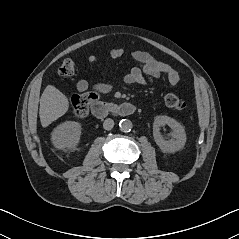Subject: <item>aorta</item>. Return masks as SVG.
Wrapping results in <instances>:
<instances>
[{
    "mask_svg": "<svg viewBox=\"0 0 239 239\" xmlns=\"http://www.w3.org/2000/svg\"><path fill=\"white\" fill-rule=\"evenodd\" d=\"M133 128V124L130 120L128 119H122L120 122H119V129L122 131V132H130L131 129Z\"/></svg>",
    "mask_w": 239,
    "mask_h": 239,
    "instance_id": "762f6f07",
    "label": "aorta"
}]
</instances>
